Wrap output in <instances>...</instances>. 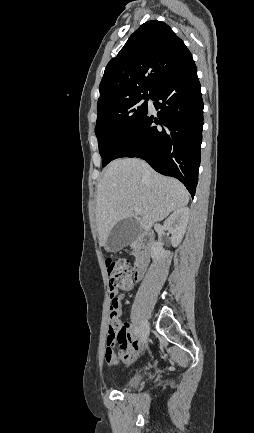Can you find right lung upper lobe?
<instances>
[{"label":"right lung upper lobe","mask_w":254,"mask_h":433,"mask_svg":"<svg viewBox=\"0 0 254 433\" xmlns=\"http://www.w3.org/2000/svg\"><path fill=\"white\" fill-rule=\"evenodd\" d=\"M191 59L184 42L167 24L145 22L106 66L97 111L128 100L152 98Z\"/></svg>","instance_id":"1"}]
</instances>
